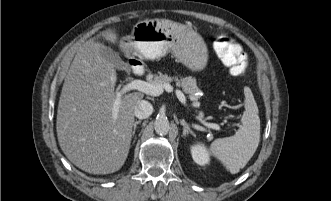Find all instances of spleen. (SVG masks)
<instances>
[{
    "instance_id": "obj_1",
    "label": "spleen",
    "mask_w": 331,
    "mask_h": 201,
    "mask_svg": "<svg viewBox=\"0 0 331 201\" xmlns=\"http://www.w3.org/2000/svg\"><path fill=\"white\" fill-rule=\"evenodd\" d=\"M241 123V127L234 136L218 138L209 148L212 155L220 160L232 174L238 173L246 166L259 145L260 118L252 95L246 98Z\"/></svg>"
}]
</instances>
